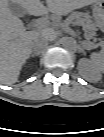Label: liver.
<instances>
[{"mask_svg": "<svg viewBox=\"0 0 104 137\" xmlns=\"http://www.w3.org/2000/svg\"><path fill=\"white\" fill-rule=\"evenodd\" d=\"M98 0H46L45 7L40 0H11L22 6L30 15L40 16L48 11L55 15H67ZM55 38V33L44 30L41 34L26 31L23 22L8 7V0H1L0 7V82L11 85L18 81L23 64L32 52V42L38 37Z\"/></svg>", "mask_w": 104, "mask_h": 137, "instance_id": "6515ba94", "label": "liver"}]
</instances>
